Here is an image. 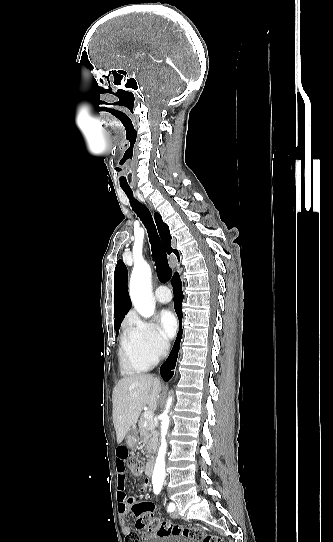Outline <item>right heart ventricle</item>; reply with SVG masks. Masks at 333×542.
I'll list each match as a JSON object with an SVG mask.
<instances>
[{"label":"right heart ventricle","mask_w":333,"mask_h":542,"mask_svg":"<svg viewBox=\"0 0 333 542\" xmlns=\"http://www.w3.org/2000/svg\"><path fill=\"white\" fill-rule=\"evenodd\" d=\"M131 322H129L128 328ZM119 354L122 369L126 373L145 372L156 362V357L147 353L140 345L127 336L121 340Z\"/></svg>","instance_id":"1"}]
</instances>
